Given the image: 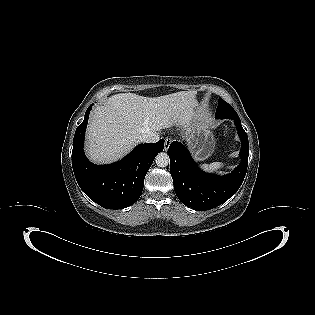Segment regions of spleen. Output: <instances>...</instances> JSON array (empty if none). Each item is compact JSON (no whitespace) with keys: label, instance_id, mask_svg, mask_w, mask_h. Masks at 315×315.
<instances>
[{"label":"spleen","instance_id":"spleen-1","mask_svg":"<svg viewBox=\"0 0 315 315\" xmlns=\"http://www.w3.org/2000/svg\"><path fill=\"white\" fill-rule=\"evenodd\" d=\"M223 166L221 162H213L211 164H202L201 168L207 172H214L220 169Z\"/></svg>","mask_w":315,"mask_h":315}]
</instances>
